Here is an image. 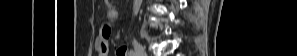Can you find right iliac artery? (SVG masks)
<instances>
[{
    "mask_svg": "<svg viewBox=\"0 0 297 56\" xmlns=\"http://www.w3.org/2000/svg\"><path fill=\"white\" fill-rule=\"evenodd\" d=\"M129 56H137V54L133 50H130L129 51Z\"/></svg>",
    "mask_w": 297,
    "mask_h": 56,
    "instance_id": "obj_1",
    "label": "right iliac artery"
}]
</instances>
